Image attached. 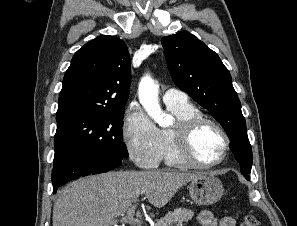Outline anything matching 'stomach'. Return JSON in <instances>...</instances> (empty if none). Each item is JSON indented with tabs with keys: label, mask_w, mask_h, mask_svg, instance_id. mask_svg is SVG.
<instances>
[{
	"label": "stomach",
	"mask_w": 297,
	"mask_h": 226,
	"mask_svg": "<svg viewBox=\"0 0 297 226\" xmlns=\"http://www.w3.org/2000/svg\"><path fill=\"white\" fill-rule=\"evenodd\" d=\"M188 190L191 199L198 205H212L219 201L224 193L221 181L210 175L191 181Z\"/></svg>",
	"instance_id": "stomach-1"
}]
</instances>
